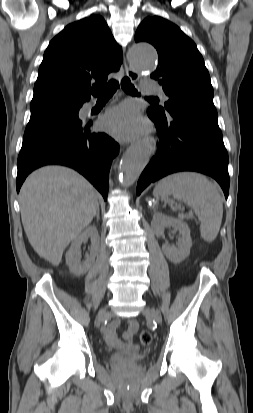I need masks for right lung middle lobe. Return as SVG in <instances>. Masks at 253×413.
<instances>
[{
	"label": "right lung middle lobe",
	"mask_w": 253,
	"mask_h": 413,
	"mask_svg": "<svg viewBox=\"0 0 253 413\" xmlns=\"http://www.w3.org/2000/svg\"><path fill=\"white\" fill-rule=\"evenodd\" d=\"M79 109L80 108L57 109L31 114L23 141L80 126L82 121L78 117Z\"/></svg>",
	"instance_id": "right-lung-middle-lobe-1"
}]
</instances>
